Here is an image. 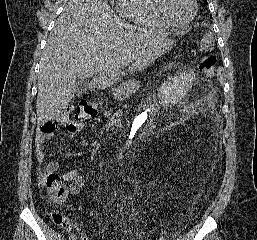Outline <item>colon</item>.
<instances>
[{
    "label": "colon",
    "mask_w": 257,
    "mask_h": 240,
    "mask_svg": "<svg viewBox=\"0 0 257 240\" xmlns=\"http://www.w3.org/2000/svg\"><path fill=\"white\" fill-rule=\"evenodd\" d=\"M214 38L210 33L205 34L196 49L194 54H202L199 62L201 73L209 79H214L216 69V56L213 52ZM98 104L94 102L81 101L75 110L74 123L70 124L73 127L80 128L88 119L94 117L97 113ZM58 128V125L53 122H45L40 125L39 131L45 134H52ZM50 199L56 203L63 202L68 194L67 185L63 179L55 173L48 174L43 180ZM53 222L63 229L69 228V220L61 213L55 212L52 214Z\"/></svg>",
    "instance_id": "colon-1"
}]
</instances>
